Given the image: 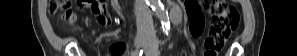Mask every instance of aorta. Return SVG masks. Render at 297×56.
<instances>
[{
    "label": "aorta",
    "instance_id": "aorta-1",
    "mask_svg": "<svg viewBox=\"0 0 297 56\" xmlns=\"http://www.w3.org/2000/svg\"><path fill=\"white\" fill-rule=\"evenodd\" d=\"M151 7L156 13L157 17L160 19L162 27L167 31L170 29V21L168 17V12L161 3V0H150Z\"/></svg>",
    "mask_w": 297,
    "mask_h": 56
}]
</instances>
